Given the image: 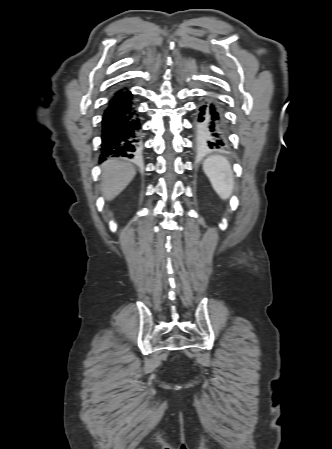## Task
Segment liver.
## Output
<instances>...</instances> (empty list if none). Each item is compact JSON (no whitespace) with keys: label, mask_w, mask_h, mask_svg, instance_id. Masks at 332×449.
<instances>
[{"label":"liver","mask_w":332,"mask_h":449,"mask_svg":"<svg viewBox=\"0 0 332 449\" xmlns=\"http://www.w3.org/2000/svg\"><path fill=\"white\" fill-rule=\"evenodd\" d=\"M136 174L130 163L108 159L102 164L101 191L106 200H112L119 195L132 181Z\"/></svg>","instance_id":"1"}]
</instances>
